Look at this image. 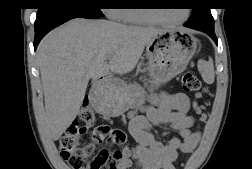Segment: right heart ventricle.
Segmentation results:
<instances>
[{"mask_svg":"<svg viewBox=\"0 0 252 169\" xmlns=\"http://www.w3.org/2000/svg\"><path fill=\"white\" fill-rule=\"evenodd\" d=\"M120 21L127 24H148L147 21L140 13L139 10L133 8H123L120 10Z\"/></svg>","mask_w":252,"mask_h":169,"instance_id":"e07e8e85","label":"right heart ventricle"}]
</instances>
